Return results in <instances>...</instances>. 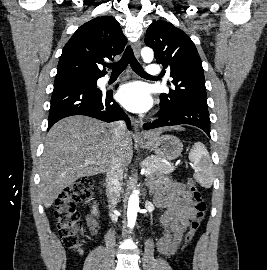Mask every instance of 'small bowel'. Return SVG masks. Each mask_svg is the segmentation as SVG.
Returning <instances> with one entry per match:
<instances>
[{"mask_svg": "<svg viewBox=\"0 0 267 270\" xmlns=\"http://www.w3.org/2000/svg\"><path fill=\"white\" fill-rule=\"evenodd\" d=\"M154 204L164 209L159 225L161 237L157 242L160 254L170 257L180 247L183 236L194 216V201L190 191L180 182L154 177L149 181ZM88 225L92 234L99 230V220L89 216Z\"/></svg>", "mask_w": 267, "mask_h": 270, "instance_id": "c3829d8e", "label": "small bowel"}]
</instances>
